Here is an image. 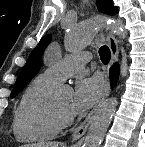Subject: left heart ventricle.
<instances>
[{
	"label": "left heart ventricle",
	"mask_w": 145,
	"mask_h": 147,
	"mask_svg": "<svg viewBox=\"0 0 145 147\" xmlns=\"http://www.w3.org/2000/svg\"><path fill=\"white\" fill-rule=\"evenodd\" d=\"M55 102L60 109H62L63 111L70 112L71 96L59 98Z\"/></svg>",
	"instance_id": "1"
}]
</instances>
